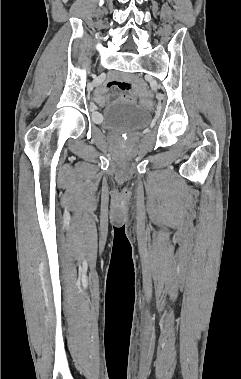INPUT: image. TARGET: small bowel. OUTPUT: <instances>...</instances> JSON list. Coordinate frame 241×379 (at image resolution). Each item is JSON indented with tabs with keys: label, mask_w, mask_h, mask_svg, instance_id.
I'll use <instances>...</instances> for the list:
<instances>
[{
	"label": "small bowel",
	"mask_w": 241,
	"mask_h": 379,
	"mask_svg": "<svg viewBox=\"0 0 241 379\" xmlns=\"http://www.w3.org/2000/svg\"><path fill=\"white\" fill-rule=\"evenodd\" d=\"M112 87H119L124 90H129L131 88V84L123 80L108 79L102 87L98 88L95 91V100L99 105L101 106L105 105L106 103L105 93L108 89ZM123 100L130 103H134L136 101L134 97L129 96V95H124Z\"/></svg>",
	"instance_id": "1"
}]
</instances>
